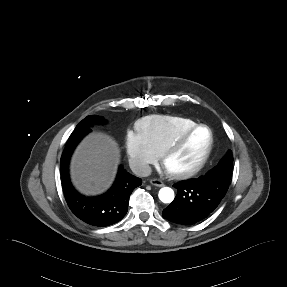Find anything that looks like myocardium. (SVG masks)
I'll list each match as a JSON object with an SVG mask.
<instances>
[{
    "instance_id": "obj_1",
    "label": "myocardium",
    "mask_w": 287,
    "mask_h": 287,
    "mask_svg": "<svg viewBox=\"0 0 287 287\" xmlns=\"http://www.w3.org/2000/svg\"><path fill=\"white\" fill-rule=\"evenodd\" d=\"M205 128L209 131L210 135V141L209 145L204 152L201 159L194 165L192 168L182 171H170L166 169V162L167 160L176 153L182 146L186 143V141L193 135L194 132H196L198 129ZM215 138L214 133L211 127L205 124H197L193 126L192 128L184 131L181 133L178 137H176L163 151L161 156V165L164 168L167 175L173 179L176 180H184L188 179L194 175H196L198 172H200L203 167L206 165L208 160L210 159V156L212 154L213 148H214Z\"/></svg>"
}]
</instances>
